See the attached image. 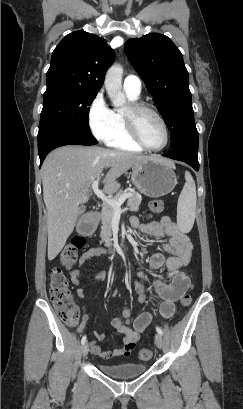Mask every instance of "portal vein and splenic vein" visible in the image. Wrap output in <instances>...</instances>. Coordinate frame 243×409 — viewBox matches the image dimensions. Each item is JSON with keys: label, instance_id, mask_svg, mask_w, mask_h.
Here are the masks:
<instances>
[{"label": "portal vein and splenic vein", "instance_id": "portal-vein-and-splenic-vein-1", "mask_svg": "<svg viewBox=\"0 0 243 409\" xmlns=\"http://www.w3.org/2000/svg\"><path fill=\"white\" fill-rule=\"evenodd\" d=\"M101 177H98L96 180L93 181L92 183V190L93 192L97 195L98 198H100L104 203L108 204L109 206L113 207L115 211H121V205L124 203V201L131 197V193H126L122 195L118 200H115L113 198L107 197L104 192H102L99 188V181Z\"/></svg>", "mask_w": 243, "mask_h": 409}]
</instances>
